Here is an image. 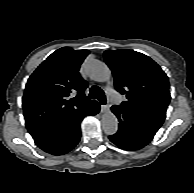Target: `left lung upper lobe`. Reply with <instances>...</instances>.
<instances>
[{
	"label": "left lung upper lobe",
	"mask_w": 194,
	"mask_h": 193,
	"mask_svg": "<svg viewBox=\"0 0 194 193\" xmlns=\"http://www.w3.org/2000/svg\"><path fill=\"white\" fill-rule=\"evenodd\" d=\"M104 60L112 70L117 91L126 96L120 107L162 124L170 102L168 77L150 57L133 50H107Z\"/></svg>",
	"instance_id": "1"
}]
</instances>
